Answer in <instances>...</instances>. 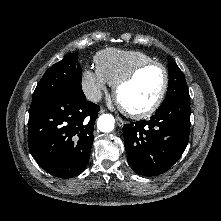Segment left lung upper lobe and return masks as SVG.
Wrapping results in <instances>:
<instances>
[{
	"instance_id": "obj_1",
	"label": "left lung upper lobe",
	"mask_w": 221,
	"mask_h": 221,
	"mask_svg": "<svg viewBox=\"0 0 221 221\" xmlns=\"http://www.w3.org/2000/svg\"><path fill=\"white\" fill-rule=\"evenodd\" d=\"M168 71L169 85L166 98L162 104L167 103L178 95L189 93L184 74L171 58L169 59Z\"/></svg>"
}]
</instances>
